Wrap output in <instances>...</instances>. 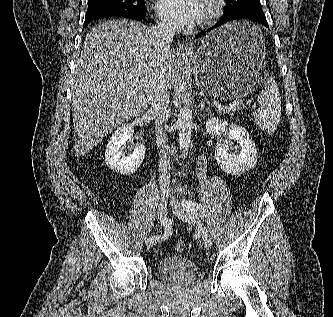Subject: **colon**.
I'll use <instances>...</instances> for the list:
<instances>
[{"label":"colon","instance_id":"colon-1","mask_svg":"<svg viewBox=\"0 0 333 317\" xmlns=\"http://www.w3.org/2000/svg\"><path fill=\"white\" fill-rule=\"evenodd\" d=\"M175 250L177 252H183L185 250V243L183 241H178L175 244Z\"/></svg>","mask_w":333,"mask_h":317}]
</instances>
